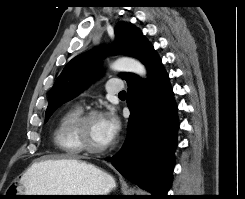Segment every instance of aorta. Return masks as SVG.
Wrapping results in <instances>:
<instances>
[{"instance_id":"aorta-1","label":"aorta","mask_w":245,"mask_h":199,"mask_svg":"<svg viewBox=\"0 0 245 199\" xmlns=\"http://www.w3.org/2000/svg\"><path fill=\"white\" fill-rule=\"evenodd\" d=\"M112 69L120 72H132L142 78H146L147 75L145 66L140 61L129 57L117 59L112 64Z\"/></svg>"}]
</instances>
